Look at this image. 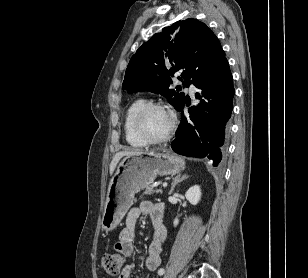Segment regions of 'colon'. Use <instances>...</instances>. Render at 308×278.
Segmentation results:
<instances>
[{"instance_id": "5ec220e1", "label": "colon", "mask_w": 308, "mask_h": 278, "mask_svg": "<svg viewBox=\"0 0 308 278\" xmlns=\"http://www.w3.org/2000/svg\"><path fill=\"white\" fill-rule=\"evenodd\" d=\"M124 265V256L120 253H107L101 258V266L110 275H117Z\"/></svg>"}]
</instances>
